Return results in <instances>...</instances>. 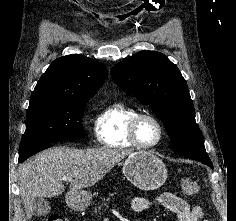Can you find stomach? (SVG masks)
<instances>
[{"label": "stomach", "mask_w": 236, "mask_h": 221, "mask_svg": "<svg viewBox=\"0 0 236 221\" xmlns=\"http://www.w3.org/2000/svg\"><path fill=\"white\" fill-rule=\"evenodd\" d=\"M124 176L137 188L152 191L160 188L167 179V169L162 160L152 152L131 153L123 162ZM92 195L87 191L68 192L66 202L75 210L87 208Z\"/></svg>", "instance_id": "0dacf381"}]
</instances>
